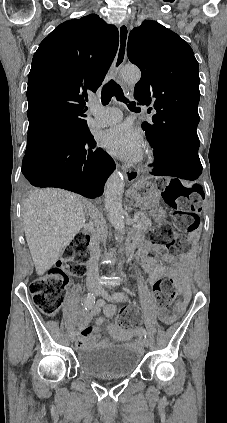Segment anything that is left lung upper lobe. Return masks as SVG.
Listing matches in <instances>:
<instances>
[{"mask_svg": "<svg viewBox=\"0 0 227 423\" xmlns=\"http://www.w3.org/2000/svg\"><path fill=\"white\" fill-rule=\"evenodd\" d=\"M127 54L142 73L134 98L157 111L153 123L142 124L147 138L183 120L199 121L198 62L186 41L156 21H144L130 32Z\"/></svg>", "mask_w": 227, "mask_h": 423, "instance_id": "1", "label": "left lung upper lobe"}]
</instances>
